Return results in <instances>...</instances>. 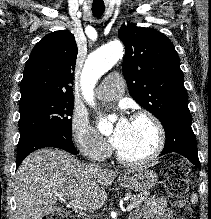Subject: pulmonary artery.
Returning <instances> with one entry per match:
<instances>
[{
	"mask_svg": "<svg viewBox=\"0 0 211 219\" xmlns=\"http://www.w3.org/2000/svg\"><path fill=\"white\" fill-rule=\"evenodd\" d=\"M124 88L123 76L118 72L111 73L100 84L98 98L106 101L118 99L123 95Z\"/></svg>",
	"mask_w": 211,
	"mask_h": 219,
	"instance_id": "pulmonary-artery-1",
	"label": "pulmonary artery"
}]
</instances>
